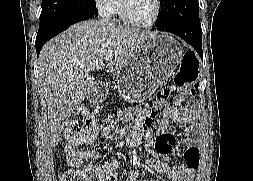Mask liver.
I'll return each mask as SVG.
<instances>
[{"label": "liver", "instance_id": "obj_1", "mask_svg": "<svg viewBox=\"0 0 253 181\" xmlns=\"http://www.w3.org/2000/svg\"><path fill=\"white\" fill-rule=\"evenodd\" d=\"M154 35L139 28L88 20L72 25L44 45L38 69L48 106L51 146L58 144L68 118L92 89L89 73L105 68L118 72L135 47ZM111 52L114 59L105 66V55Z\"/></svg>", "mask_w": 253, "mask_h": 181}]
</instances>
